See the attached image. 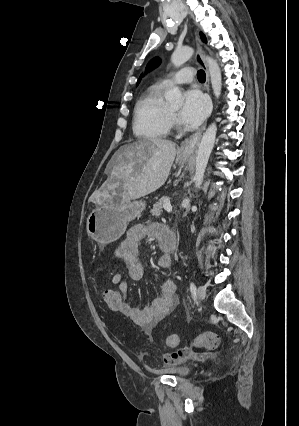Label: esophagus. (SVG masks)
<instances>
[{"instance_id": "1", "label": "esophagus", "mask_w": 299, "mask_h": 426, "mask_svg": "<svg viewBox=\"0 0 299 426\" xmlns=\"http://www.w3.org/2000/svg\"><path fill=\"white\" fill-rule=\"evenodd\" d=\"M196 46H197V53H196V60L199 63L200 66H202L205 70V74H206V81H205V88L207 90L208 93H210V79H209V71H208V67L207 64L204 60V56H203V48L201 46L200 40L198 38V36H196ZM211 109H212V104H211ZM206 127V123L197 131L195 132L193 135H191L188 139H186L180 149V153L182 155H191L194 153V151L197 148L199 139L202 135V132L204 131Z\"/></svg>"}]
</instances>
